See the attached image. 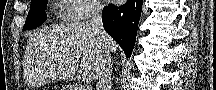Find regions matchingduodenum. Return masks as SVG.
I'll use <instances>...</instances> for the list:
<instances>
[{"mask_svg": "<svg viewBox=\"0 0 216 90\" xmlns=\"http://www.w3.org/2000/svg\"><path fill=\"white\" fill-rule=\"evenodd\" d=\"M69 90H88L87 87H70Z\"/></svg>", "mask_w": 216, "mask_h": 90, "instance_id": "1", "label": "duodenum"}]
</instances>
